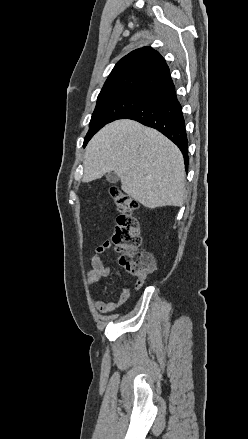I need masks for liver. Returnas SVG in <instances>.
<instances>
[{"mask_svg":"<svg viewBox=\"0 0 248 439\" xmlns=\"http://www.w3.org/2000/svg\"><path fill=\"white\" fill-rule=\"evenodd\" d=\"M85 183L115 172L122 190L147 208L182 206L184 159L179 148L155 129L122 119L103 127L88 143Z\"/></svg>","mask_w":248,"mask_h":439,"instance_id":"liver-1","label":"liver"}]
</instances>
